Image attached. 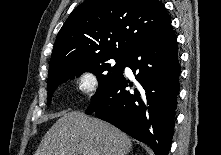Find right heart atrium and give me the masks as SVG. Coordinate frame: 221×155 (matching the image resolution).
<instances>
[{"label":"right heart atrium","mask_w":221,"mask_h":155,"mask_svg":"<svg viewBox=\"0 0 221 155\" xmlns=\"http://www.w3.org/2000/svg\"><path fill=\"white\" fill-rule=\"evenodd\" d=\"M98 81L96 76L90 71L81 72L75 79L77 90L85 95H91L97 89Z\"/></svg>","instance_id":"obj_1"}]
</instances>
